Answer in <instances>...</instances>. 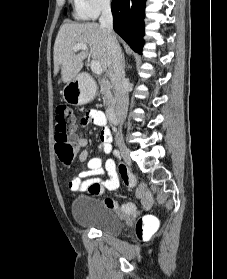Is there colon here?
Here are the masks:
<instances>
[{"instance_id": "obj_1", "label": "colon", "mask_w": 227, "mask_h": 279, "mask_svg": "<svg viewBox=\"0 0 227 279\" xmlns=\"http://www.w3.org/2000/svg\"><path fill=\"white\" fill-rule=\"evenodd\" d=\"M74 114L69 106L58 104L55 115V153L63 164H71L76 156V146L72 142V127L74 125ZM120 171L126 175L125 168ZM90 189L93 193L100 191L98 184H91ZM153 230L152 223L143 217L137 224L136 232L138 236H144Z\"/></svg>"}]
</instances>
